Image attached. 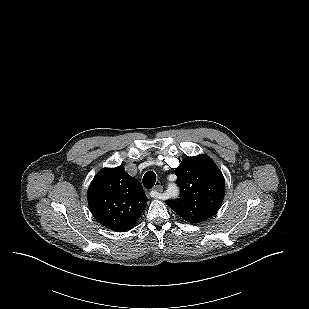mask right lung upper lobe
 Segmentation results:
<instances>
[{
	"mask_svg": "<svg viewBox=\"0 0 309 309\" xmlns=\"http://www.w3.org/2000/svg\"><path fill=\"white\" fill-rule=\"evenodd\" d=\"M147 201L139 181L122 166L100 170L88 189V204L95 219L117 232L135 226Z\"/></svg>",
	"mask_w": 309,
	"mask_h": 309,
	"instance_id": "obj_1",
	"label": "right lung upper lobe"
}]
</instances>
